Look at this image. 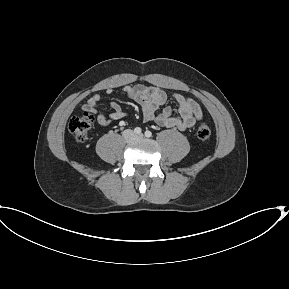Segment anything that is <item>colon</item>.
Returning <instances> with one entry per match:
<instances>
[{
  "mask_svg": "<svg viewBox=\"0 0 289 289\" xmlns=\"http://www.w3.org/2000/svg\"><path fill=\"white\" fill-rule=\"evenodd\" d=\"M93 122L94 117L89 112L73 116L68 123L69 132L78 142H84L88 138ZM210 136V127L206 123H201L197 128V137L202 141H207Z\"/></svg>",
  "mask_w": 289,
  "mask_h": 289,
  "instance_id": "5ec220e1",
  "label": "colon"
}]
</instances>
